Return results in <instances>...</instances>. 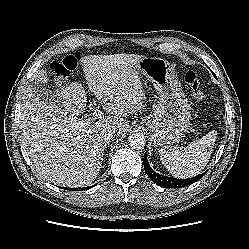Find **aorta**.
<instances>
[{"instance_id": "obj_1", "label": "aorta", "mask_w": 249, "mask_h": 249, "mask_svg": "<svg viewBox=\"0 0 249 249\" xmlns=\"http://www.w3.org/2000/svg\"><path fill=\"white\" fill-rule=\"evenodd\" d=\"M129 146L135 150H142L146 145V140L143 134L134 133L129 136Z\"/></svg>"}]
</instances>
